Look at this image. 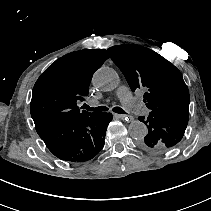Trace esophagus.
Segmentation results:
<instances>
[{
	"label": "esophagus",
	"mask_w": 211,
	"mask_h": 211,
	"mask_svg": "<svg viewBox=\"0 0 211 211\" xmlns=\"http://www.w3.org/2000/svg\"><path fill=\"white\" fill-rule=\"evenodd\" d=\"M115 117H117L119 119H125L126 123H131L132 122V117L131 116H127V115H123V114H115Z\"/></svg>",
	"instance_id": "34e87169"
}]
</instances>
